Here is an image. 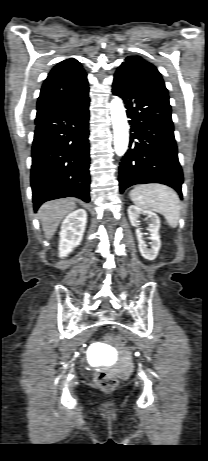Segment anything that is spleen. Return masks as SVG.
<instances>
[{
    "mask_svg": "<svg viewBox=\"0 0 208 461\" xmlns=\"http://www.w3.org/2000/svg\"><path fill=\"white\" fill-rule=\"evenodd\" d=\"M129 196L136 206L158 212L171 227L178 226L180 200L172 188L162 184L139 185L130 191Z\"/></svg>",
    "mask_w": 208,
    "mask_h": 461,
    "instance_id": "spleen-1",
    "label": "spleen"
}]
</instances>
